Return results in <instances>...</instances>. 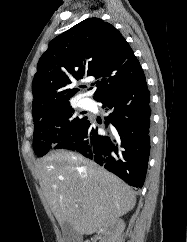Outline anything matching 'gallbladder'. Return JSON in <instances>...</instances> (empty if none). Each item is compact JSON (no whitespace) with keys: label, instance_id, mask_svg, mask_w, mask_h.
<instances>
[{"label":"gallbladder","instance_id":"1","mask_svg":"<svg viewBox=\"0 0 187 242\" xmlns=\"http://www.w3.org/2000/svg\"><path fill=\"white\" fill-rule=\"evenodd\" d=\"M63 242H81V236L68 223L64 222L62 225Z\"/></svg>","mask_w":187,"mask_h":242}]
</instances>
